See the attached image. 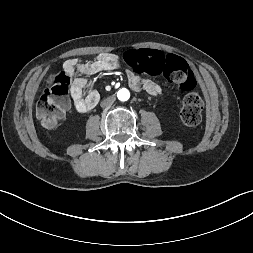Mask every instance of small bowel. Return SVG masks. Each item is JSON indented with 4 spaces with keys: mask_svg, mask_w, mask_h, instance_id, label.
<instances>
[{
    "mask_svg": "<svg viewBox=\"0 0 253 253\" xmlns=\"http://www.w3.org/2000/svg\"><path fill=\"white\" fill-rule=\"evenodd\" d=\"M120 66V57L114 53H101L94 60L80 62L78 59H69L64 65V71L71 76V97L75 109L86 113L93 109L99 101V93L91 89L85 92L88 84L87 77L102 71H114ZM79 73V76H76ZM129 86L135 91H144L156 96L161 93L160 86L150 79L141 77L136 71H128Z\"/></svg>",
    "mask_w": 253,
    "mask_h": 253,
    "instance_id": "c3829d8e",
    "label": "small bowel"
}]
</instances>
